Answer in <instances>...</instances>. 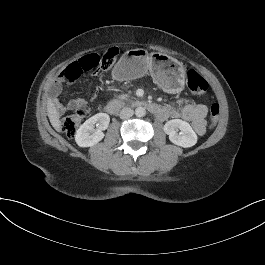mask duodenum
Segmentation results:
<instances>
[{"label":"duodenum","mask_w":265,"mask_h":265,"mask_svg":"<svg viewBox=\"0 0 265 265\" xmlns=\"http://www.w3.org/2000/svg\"><path fill=\"white\" fill-rule=\"evenodd\" d=\"M130 104L133 106L145 107L158 118L164 114L163 107L151 101L134 100ZM124 105L125 103L122 100H111L107 103L105 110L110 115H116L123 108Z\"/></svg>","instance_id":"1"}]
</instances>
